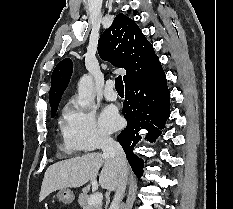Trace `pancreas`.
<instances>
[{
	"instance_id": "cf45deb5",
	"label": "pancreas",
	"mask_w": 233,
	"mask_h": 209,
	"mask_svg": "<svg viewBox=\"0 0 233 209\" xmlns=\"http://www.w3.org/2000/svg\"><path fill=\"white\" fill-rule=\"evenodd\" d=\"M90 196L87 191H83L78 198V203L82 209H102V204L89 205L88 200Z\"/></svg>"
}]
</instances>
